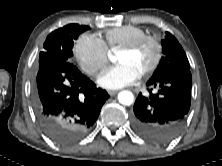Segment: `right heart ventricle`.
<instances>
[{
	"instance_id": "obj_1",
	"label": "right heart ventricle",
	"mask_w": 222,
	"mask_h": 166,
	"mask_svg": "<svg viewBox=\"0 0 222 166\" xmlns=\"http://www.w3.org/2000/svg\"><path fill=\"white\" fill-rule=\"evenodd\" d=\"M143 35H146V32L137 26L124 25L114 27L104 33V43L107 49L112 51L129 44Z\"/></svg>"
}]
</instances>
